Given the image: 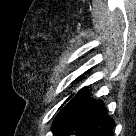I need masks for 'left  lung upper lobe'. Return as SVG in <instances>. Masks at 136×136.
Segmentation results:
<instances>
[{
    "mask_svg": "<svg viewBox=\"0 0 136 136\" xmlns=\"http://www.w3.org/2000/svg\"><path fill=\"white\" fill-rule=\"evenodd\" d=\"M75 95V93L71 94L68 99L59 107L58 110L62 109L70 100L71 98Z\"/></svg>",
    "mask_w": 136,
    "mask_h": 136,
    "instance_id": "left-lung-upper-lobe-1",
    "label": "left lung upper lobe"
}]
</instances>
